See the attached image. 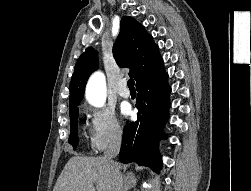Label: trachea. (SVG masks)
<instances>
[{"label": "trachea", "mask_w": 251, "mask_h": 191, "mask_svg": "<svg viewBox=\"0 0 251 191\" xmlns=\"http://www.w3.org/2000/svg\"><path fill=\"white\" fill-rule=\"evenodd\" d=\"M134 85H135V82L133 78H130L127 82V86L129 87V89H134Z\"/></svg>", "instance_id": "obj_1"}]
</instances>
